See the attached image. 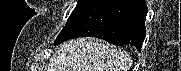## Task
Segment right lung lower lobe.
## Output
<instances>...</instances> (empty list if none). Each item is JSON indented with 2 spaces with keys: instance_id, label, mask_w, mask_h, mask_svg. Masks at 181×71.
<instances>
[{
  "instance_id": "98d812e1",
  "label": "right lung lower lobe",
  "mask_w": 181,
  "mask_h": 71,
  "mask_svg": "<svg viewBox=\"0 0 181 71\" xmlns=\"http://www.w3.org/2000/svg\"><path fill=\"white\" fill-rule=\"evenodd\" d=\"M144 0H95L66 24L55 45L77 37L92 36L114 45H132L141 51L146 36Z\"/></svg>"
}]
</instances>
